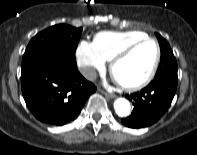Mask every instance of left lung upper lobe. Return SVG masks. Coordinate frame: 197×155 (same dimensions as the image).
<instances>
[{"label": "left lung upper lobe", "mask_w": 197, "mask_h": 155, "mask_svg": "<svg viewBox=\"0 0 197 155\" xmlns=\"http://www.w3.org/2000/svg\"><path fill=\"white\" fill-rule=\"evenodd\" d=\"M161 50L160 65L155 77L164 74L177 76V62L168 42L159 34L156 33Z\"/></svg>", "instance_id": "obj_1"}]
</instances>
